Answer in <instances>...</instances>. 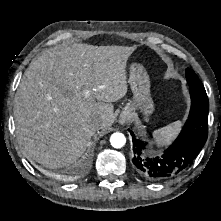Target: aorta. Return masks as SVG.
Listing matches in <instances>:
<instances>
[{
	"label": "aorta",
	"mask_w": 221,
	"mask_h": 221,
	"mask_svg": "<svg viewBox=\"0 0 221 221\" xmlns=\"http://www.w3.org/2000/svg\"><path fill=\"white\" fill-rule=\"evenodd\" d=\"M110 143L114 148H121L126 143V138L123 133L116 132L110 137Z\"/></svg>",
	"instance_id": "762f6f07"
}]
</instances>
